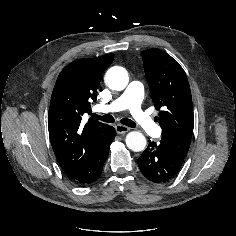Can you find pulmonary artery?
I'll return each mask as SVG.
<instances>
[{
	"label": "pulmonary artery",
	"instance_id": "obj_1",
	"mask_svg": "<svg viewBox=\"0 0 236 236\" xmlns=\"http://www.w3.org/2000/svg\"><path fill=\"white\" fill-rule=\"evenodd\" d=\"M144 86L139 81H132L127 88L109 104L100 105L98 110L103 113H112L129 109L135 123L148 135L156 136L160 128L152 118L144 112L141 101Z\"/></svg>",
	"mask_w": 236,
	"mask_h": 236
}]
</instances>
